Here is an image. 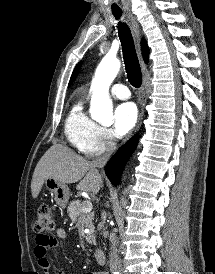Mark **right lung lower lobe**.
Returning a JSON list of instances; mask_svg holds the SVG:
<instances>
[{"instance_id": "obj_1", "label": "right lung lower lobe", "mask_w": 215, "mask_h": 274, "mask_svg": "<svg viewBox=\"0 0 215 274\" xmlns=\"http://www.w3.org/2000/svg\"><path fill=\"white\" fill-rule=\"evenodd\" d=\"M137 142L138 137L135 136L125 145H123L107 163L105 173L114 186H117V184L120 182L122 171L129 157L133 153Z\"/></svg>"}]
</instances>
